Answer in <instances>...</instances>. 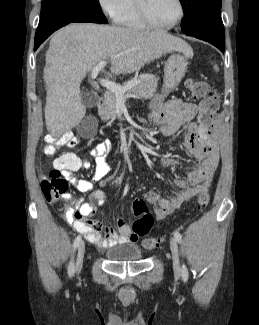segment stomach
Wrapping results in <instances>:
<instances>
[{"label": "stomach", "instance_id": "stomach-1", "mask_svg": "<svg viewBox=\"0 0 259 325\" xmlns=\"http://www.w3.org/2000/svg\"><path fill=\"white\" fill-rule=\"evenodd\" d=\"M187 70V61L180 54H172L164 67V84L162 94L154 96L150 107L159 105L171 91H173L181 82Z\"/></svg>", "mask_w": 259, "mask_h": 325}]
</instances>
